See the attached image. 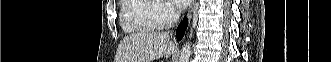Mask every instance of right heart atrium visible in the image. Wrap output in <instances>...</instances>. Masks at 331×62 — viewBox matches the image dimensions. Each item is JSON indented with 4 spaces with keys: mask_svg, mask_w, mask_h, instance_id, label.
<instances>
[{
    "mask_svg": "<svg viewBox=\"0 0 331 62\" xmlns=\"http://www.w3.org/2000/svg\"><path fill=\"white\" fill-rule=\"evenodd\" d=\"M152 5L150 21L155 28H162L175 20L177 14L172 6L165 1H148Z\"/></svg>",
    "mask_w": 331,
    "mask_h": 62,
    "instance_id": "right-heart-atrium-1",
    "label": "right heart atrium"
}]
</instances>
